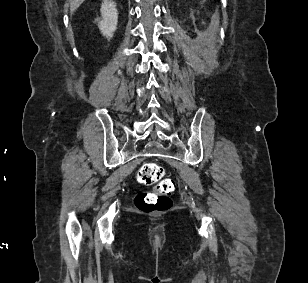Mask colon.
I'll list each match as a JSON object with an SVG mask.
<instances>
[{"instance_id": "1", "label": "colon", "mask_w": 308, "mask_h": 283, "mask_svg": "<svg viewBox=\"0 0 308 283\" xmlns=\"http://www.w3.org/2000/svg\"><path fill=\"white\" fill-rule=\"evenodd\" d=\"M164 169L156 163L143 164L136 173V180L145 186L154 185L151 192L138 194L135 205L146 213L162 212L171 207L174 181L164 177Z\"/></svg>"}]
</instances>
